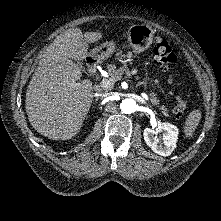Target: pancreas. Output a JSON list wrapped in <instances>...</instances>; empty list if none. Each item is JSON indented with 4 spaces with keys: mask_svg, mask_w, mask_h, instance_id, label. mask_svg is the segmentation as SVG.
<instances>
[{
    "mask_svg": "<svg viewBox=\"0 0 221 221\" xmlns=\"http://www.w3.org/2000/svg\"><path fill=\"white\" fill-rule=\"evenodd\" d=\"M116 56H117V58H116L117 60H121V59L126 58V56L123 55L121 52L117 53ZM128 58H130V57H128ZM129 60H131V59H124V61H123L124 66L120 67L119 69H117L115 65H112V64L107 65L108 73L110 75V80L112 81V85L107 89H109V90L112 89L114 87V83L121 79L124 71L127 72L128 69L126 66V62ZM149 97H150V101L153 105H156V106L159 105V100L157 99L156 93H154V92L150 93ZM160 109L165 116L168 115V110L165 106H163V105L160 106Z\"/></svg>",
    "mask_w": 221,
    "mask_h": 221,
    "instance_id": "pancreas-1",
    "label": "pancreas"
}]
</instances>
